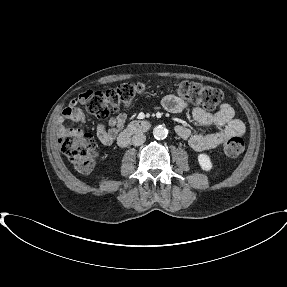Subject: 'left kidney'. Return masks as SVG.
I'll use <instances>...</instances> for the list:
<instances>
[{
	"instance_id": "5707ae66",
	"label": "left kidney",
	"mask_w": 287,
	"mask_h": 287,
	"mask_svg": "<svg viewBox=\"0 0 287 287\" xmlns=\"http://www.w3.org/2000/svg\"><path fill=\"white\" fill-rule=\"evenodd\" d=\"M198 162L200 167L205 170V171H209L212 169V162L210 157L205 154V153H201L198 155Z\"/></svg>"
}]
</instances>
